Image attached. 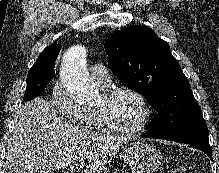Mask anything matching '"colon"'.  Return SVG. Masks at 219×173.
<instances>
[{
	"mask_svg": "<svg viewBox=\"0 0 219 173\" xmlns=\"http://www.w3.org/2000/svg\"><path fill=\"white\" fill-rule=\"evenodd\" d=\"M171 173H190V172L184 166H177L171 171Z\"/></svg>",
	"mask_w": 219,
	"mask_h": 173,
	"instance_id": "obj_1",
	"label": "colon"
}]
</instances>
